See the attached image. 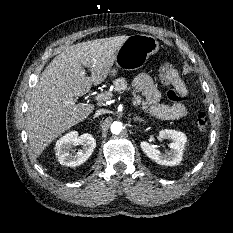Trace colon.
<instances>
[{
	"mask_svg": "<svg viewBox=\"0 0 233 233\" xmlns=\"http://www.w3.org/2000/svg\"><path fill=\"white\" fill-rule=\"evenodd\" d=\"M160 77L164 85L169 87L167 97L173 102H181L186 99V94L175 86L180 79L178 71L172 63L168 61L162 62L160 65ZM196 126L200 131H206L209 125V119L205 112H199L196 115Z\"/></svg>",
	"mask_w": 233,
	"mask_h": 233,
	"instance_id": "obj_1",
	"label": "colon"
}]
</instances>
